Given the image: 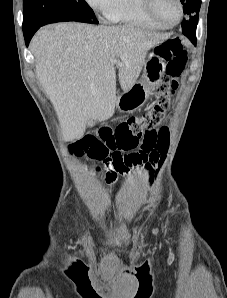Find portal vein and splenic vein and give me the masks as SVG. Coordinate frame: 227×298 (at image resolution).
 <instances>
[{
    "label": "portal vein and splenic vein",
    "instance_id": "portal-vein-and-splenic-vein-1",
    "mask_svg": "<svg viewBox=\"0 0 227 298\" xmlns=\"http://www.w3.org/2000/svg\"><path fill=\"white\" fill-rule=\"evenodd\" d=\"M110 63H111L112 65H114V64L117 63V60H116L114 57H111V59H110Z\"/></svg>",
    "mask_w": 227,
    "mask_h": 298
}]
</instances>
